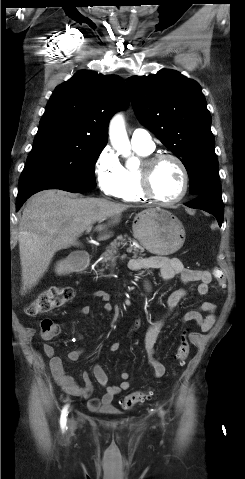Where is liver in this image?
Returning a JSON list of instances; mask_svg holds the SVG:
<instances>
[{"mask_svg":"<svg viewBox=\"0 0 245 479\" xmlns=\"http://www.w3.org/2000/svg\"><path fill=\"white\" fill-rule=\"evenodd\" d=\"M128 205L103 198H78L58 190H46L31 197L19 221V251L22 293L35 286L47 271L54 254L75 245L95 222L111 217L120 221ZM105 228L98 225L97 230ZM111 233L99 236L106 240Z\"/></svg>","mask_w":245,"mask_h":479,"instance_id":"obj_1","label":"liver"}]
</instances>
